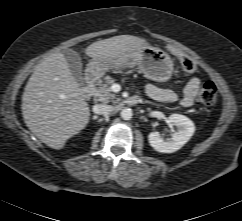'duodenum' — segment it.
<instances>
[{
	"label": "duodenum",
	"instance_id": "1",
	"mask_svg": "<svg viewBox=\"0 0 242 221\" xmlns=\"http://www.w3.org/2000/svg\"><path fill=\"white\" fill-rule=\"evenodd\" d=\"M97 78V73L96 71H91L88 75H87V79H86V86L82 89L81 91V95L84 98H88L91 95V87L93 85V83L95 82ZM128 102L130 104H134L135 101L132 99H129Z\"/></svg>",
	"mask_w": 242,
	"mask_h": 221
}]
</instances>
